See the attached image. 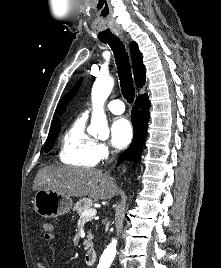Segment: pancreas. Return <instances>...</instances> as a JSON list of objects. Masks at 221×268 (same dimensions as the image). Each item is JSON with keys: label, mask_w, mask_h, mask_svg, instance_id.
<instances>
[{"label": "pancreas", "mask_w": 221, "mask_h": 268, "mask_svg": "<svg viewBox=\"0 0 221 268\" xmlns=\"http://www.w3.org/2000/svg\"><path fill=\"white\" fill-rule=\"evenodd\" d=\"M93 204V200L90 198H81L79 199L76 204L73 207V211H77V213L79 215H81V213L92 207ZM87 240L84 241V245H85V249H89L93 247V243H92V235L91 233L88 234L87 236Z\"/></svg>", "instance_id": "cf45deb5"}]
</instances>
